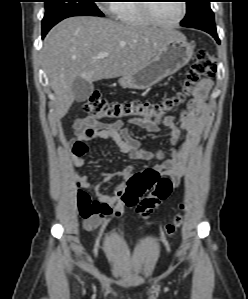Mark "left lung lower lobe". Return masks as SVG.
I'll use <instances>...</instances> for the list:
<instances>
[{"label":"left lung lower lobe","instance_id":"obj_1","mask_svg":"<svg viewBox=\"0 0 248 299\" xmlns=\"http://www.w3.org/2000/svg\"><path fill=\"white\" fill-rule=\"evenodd\" d=\"M203 31H206L207 33L211 34L216 39V41L218 43H220L217 32H216V28H204Z\"/></svg>","mask_w":248,"mask_h":299}]
</instances>
